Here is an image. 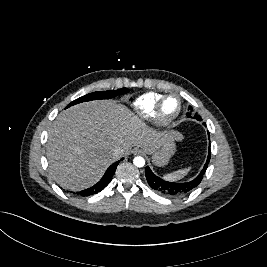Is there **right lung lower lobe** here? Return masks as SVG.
Instances as JSON below:
<instances>
[{"mask_svg": "<svg viewBox=\"0 0 267 267\" xmlns=\"http://www.w3.org/2000/svg\"><path fill=\"white\" fill-rule=\"evenodd\" d=\"M123 160V159H121ZM117 161L115 163H113L105 172L104 176L102 177V179L97 183L95 184L94 186L88 188V189H85V190H82L80 192H77V194L83 196V197H86V196H89V195H93V194H96L100 191H102L111 181L115 171H116V167L118 165V163L121 161Z\"/></svg>", "mask_w": 267, "mask_h": 267, "instance_id": "obj_1", "label": "right lung lower lobe"}]
</instances>
